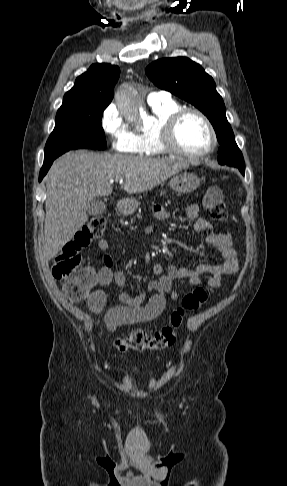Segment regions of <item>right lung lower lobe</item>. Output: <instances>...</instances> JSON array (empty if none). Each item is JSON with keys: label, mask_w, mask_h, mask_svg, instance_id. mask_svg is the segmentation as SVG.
<instances>
[{"label": "right lung lower lobe", "mask_w": 287, "mask_h": 486, "mask_svg": "<svg viewBox=\"0 0 287 486\" xmlns=\"http://www.w3.org/2000/svg\"><path fill=\"white\" fill-rule=\"evenodd\" d=\"M54 159L53 160H50V161H45L41 170H40V175H39V181H41L43 179V177L46 175V173L48 172L50 166L52 165Z\"/></svg>", "instance_id": "98d812e1"}]
</instances>
